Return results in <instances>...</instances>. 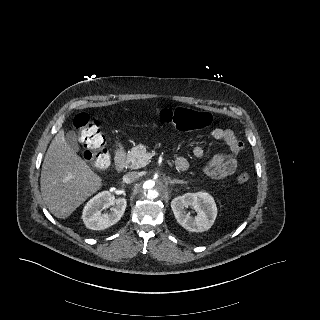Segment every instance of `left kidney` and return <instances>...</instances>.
Instances as JSON below:
<instances>
[{
  "instance_id": "1",
  "label": "left kidney",
  "mask_w": 320,
  "mask_h": 320,
  "mask_svg": "<svg viewBox=\"0 0 320 320\" xmlns=\"http://www.w3.org/2000/svg\"><path fill=\"white\" fill-rule=\"evenodd\" d=\"M192 207L197 215L192 217L186 208ZM171 208L177 222L191 232L208 230L217 216L216 203L206 192L186 193L176 197L171 202Z\"/></svg>"
}]
</instances>
